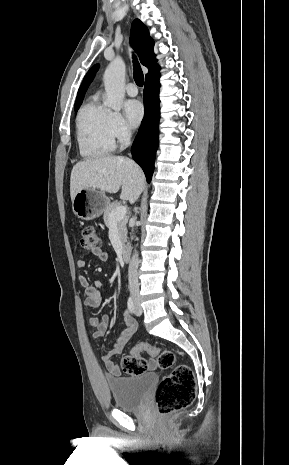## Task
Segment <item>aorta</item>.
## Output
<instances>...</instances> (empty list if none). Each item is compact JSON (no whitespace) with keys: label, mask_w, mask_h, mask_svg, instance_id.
I'll list each match as a JSON object with an SVG mask.
<instances>
[{"label":"aorta","mask_w":289,"mask_h":465,"mask_svg":"<svg viewBox=\"0 0 289 465\" xmlns=\"http://www.w3.org/2000/svg\"><path fill=\"white\" fill-rule=\"evenodd\" d=\"M126 66L121 58L114 59L104 73L106 91L105 104L114 111H120L125 95Z\"/></svg>","instance_id":"obj_1"}]
</instances>
